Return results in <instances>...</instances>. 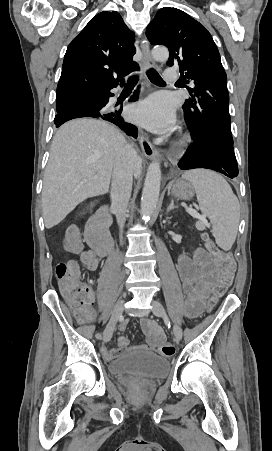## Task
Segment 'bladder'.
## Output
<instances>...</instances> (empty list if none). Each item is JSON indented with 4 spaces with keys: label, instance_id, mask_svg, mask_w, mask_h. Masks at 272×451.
I'll use <instances>...</instances> for the list:
<instances>
[{
    "label": "bladder",
    "instance_id": "1",
    "mask_svg": "<svg viewBox=\"0 0 272 451\" xmlns=\"http://www.w3.org/2000/svg\"><path fill=\"white\" fill-rule=\"evenodd\" d=\"M169 371V361L155 353L128 354L108 364L111 375L133 374L141 378H161Z\"/></svg>",
    "mask_w": 272,
    "mask_h": 451
}]
</instances>
